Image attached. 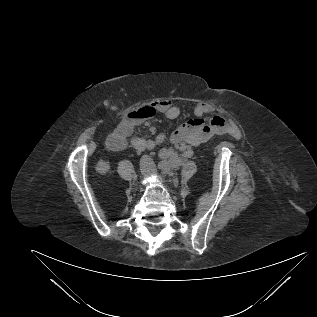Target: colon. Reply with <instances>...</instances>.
<instances>
[{
	"label": "colon",
	"mask_w": 317,
	"mask_h": 317,
	"mask_svg": "<svg viewBox=\"0 0 317 317\" xmlns=\"http://www.w3.org/2000/svg\"><path fill=\"white\" fill-rule=\"evenodd\" d=\"M156 112H157L156 107L145 106V107L138 109L137 111H134L130 115V117L133 121H139V120H143V119H147V118H151V117L155 116Z\"/></svg>",
	"instance_id": "obj_1"
}]
</instances>
